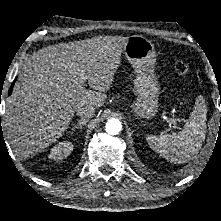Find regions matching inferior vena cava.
<instances>
[{"mask_svg":"<svg viewBox=\"0 0 221 221\" xmlns=\"http://www.w3.org/2000/svg\"><path fill=\"white\" fill-rule=\"evenodd\" d=\"M76 112L82 119H89L95 114V107L92 105H82L76 109Z\"/></svg>","mask_w":221,"mask_h":221,"instance_id":"1","label":"inferior vena cava"}]
</instances>
